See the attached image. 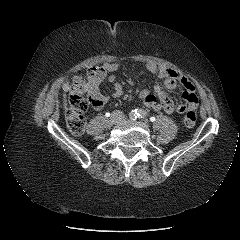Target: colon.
Listing matches in <instances>:
<instances>
[{
	"label": "colon",
	"instance_id": "1",
	"mask_svg": "<svg viewBox=\"0 0 240 240\" xmlns=\"http://www.w3.org/2000/svg\"><path fill=\"white\" fill-rule=\"evenodd\" d=\"M95 72L77 73L70 86L68 94V108L66 112V125L74 135H81L85 130V114L89 107V102L85 97L88 84L95 76ZM196 123L195 109L189 108L185 112L184 124L186 127H193Z\"/></svg>",
	"mask_w": 240,
	"mask_h": 240
}]
</instances>
